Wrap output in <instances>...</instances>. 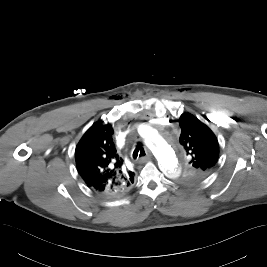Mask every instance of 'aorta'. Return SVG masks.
I'll list each match as a JSON object with an SVG mask.
<instances>
[{"label":"aorta","instance_id":"obj_1","mask_svg":"<svg viewBox=\"0 0 267 267\" xmlns=\"http://www.w3.org/2000/svg\"><path fill=\"white\" fill-rule=\"evenodd\" d=\"M145 142L154 152L165 175L170 179H177L180 176L181 167L173 149L160 136L152 134V131Z\"/></svg>","mask_w":267,"mask_h":267}]
</instances>
